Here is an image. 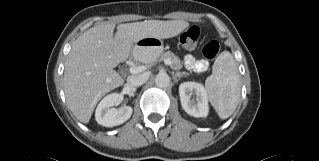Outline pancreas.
I'll return each instance as SVG.
<instances>
[{
    "mask_svg": "<svg viewBox=\"0 0 319 161\" xmlns=\"http://www.w3.org/2000/svg\"><path fill=\"white\" fill-rule=\"evenodd\" d=\"M170 60L171 64L170 67L174 70H180L183 67V62L180 60L178 56H176L173 52L167 51L163 54H161L157 59H155L153 62L164 61V60Z\"/></svg>",
    "mask_w": 319,
    "mask_h": 161,
    "instance_id": "obj_1",
    "label": "pancreas"
}]
</instances>
